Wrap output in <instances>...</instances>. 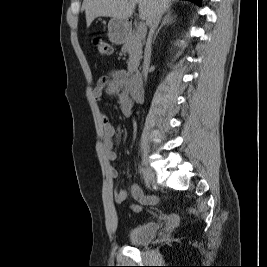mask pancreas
I'll list each match as a JSON object with an SVG mask.
<instances>
[{
	"mask_svg": "<svg viewBox=\"0 0 267 267\" xmlns=\"http://www.w3.org/2000/svg\"><path fill=\"white\" fill-rule=\"evenodd\" d=\"M122 52L129 54L128 72L132 74L137 68L142 58V42L137 33L130 32L124 39Z\"/></svg>",
	"mask_w": 267,
	"mask_h": 267,
	"instance_id": "cf45deb5",
	"label": "pancreas"
}]
</instances>
